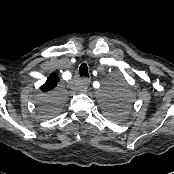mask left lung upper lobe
<instances>
[{"label":"left lung upper lobe","instance_id":"left-lung-upper-lobe-1","mask_svg":"<svg viewBox=\"0 0 174 174\" xmlns=\"http://www.w3.org/2000/svg\"><path fill=\"white\" fill-rule=\"evenodd\" d=\"M122 105H120V107H111L108 110V116L112 119V120H116V121H120L123 118L124 115V108L121 107Z\"/></svg>","mask_w":174,"mask_h":174}]
</instances>
